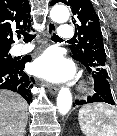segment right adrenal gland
<instances>
[{
    "instance_id": "2a0ac1e0",
    "label": "right adrenal gland",
    "mask_w": 117,
    "mask_h": 136,
    "mask_svg": "<svg viewBox=\"0 0 117 136\" xmlns=\"http://www.w3.org/2000/svg\"><path fill=\"white\" fill-rule=\"evenodd\" d=\"M25 134H26V131H24V134H23V136H25Z\"/></svg>"
}]
</instances>
